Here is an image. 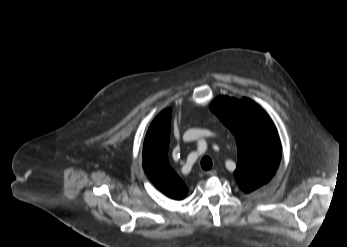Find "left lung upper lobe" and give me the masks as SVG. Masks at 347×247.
<instances>
[{"label": "left lung upper lobe", "mask_w": 347, "mask_h": 247, "mask_svg": "<svg viewBox=\"0 0 347 247\" xmlns=\"http://www.w3.org/2000/svg\"><path fill=\"white\" fill-rule=\"evenodd\" d=\"M210 109L235 136L238 186L249 193L267 183L281 159V143L270 117L248 98L218 96Z\"/></svg>", "instance_id": "1"}]
</instances>
